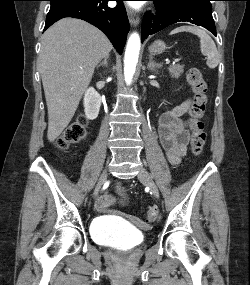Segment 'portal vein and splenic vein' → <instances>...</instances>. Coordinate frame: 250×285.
Returning a JSON list of instances; mask_svg holds the SVG:
<instances>
[{
  "label": "portal vein and splenic vein",
  "mask_w": 250,
  "mask_h": 285,
  "mask_svg": "<svg viewBox=\"0 0 250 285\" xmlns=\"http://www.w3.org/2000/svg\"><path fill=\"white\" fill-rule=\"evenodd\" d=\"M178 61V59H176L173 63H175V62H177Z\"/></svg>",
  "instance_id": "obj_1"
}]
</instances>
